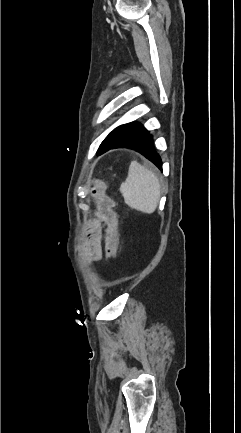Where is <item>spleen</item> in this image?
Returning <instances> with one entry per match:
<instances>
[{
  "label": "spleen",
  "instance_id": "1",
  "mask_svg": "<svg viewBox=\"0 0 241 433\" xmlns=\"http://www.w3.org/2000/svg\"><path fill=\"white\" fill-rule=\"evenodd\" d=\"M120 192L129 207L152 214L160 199V183L151 170L133 161L125 182L120 186Z\"/></svg>",
  "mask_w": 241,
  "mask_h": 433
}]
</instances>
